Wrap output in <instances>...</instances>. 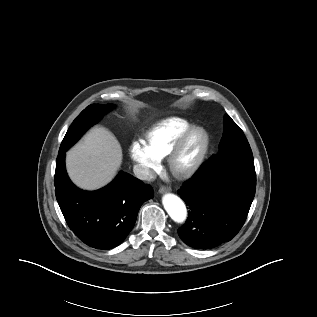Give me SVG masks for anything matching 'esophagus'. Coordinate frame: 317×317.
Returning <instances> with one entry per match:
<instances>
[{"label": "esophagus", "instance_id": "esophagus-1", "mask_svg": "<svg viewBox=\"0 0 317 317\" xmlns=\"http://www.w3.org/2000/svg\"><path fill=\"white\" fill-rule=\"evenodd\" d=\"M170 191H171V188L168 186H161L159 188V193H166V192H170Z\"/></svg>", "mask_w": 317, "mask_h": 317}]
</instances>
